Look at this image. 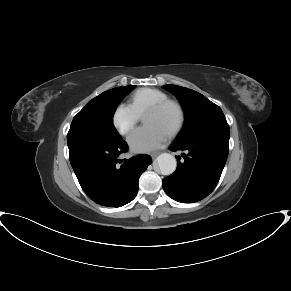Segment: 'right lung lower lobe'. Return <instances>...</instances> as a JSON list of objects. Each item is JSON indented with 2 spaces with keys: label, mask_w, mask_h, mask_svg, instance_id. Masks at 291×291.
<instances>
[{
  "label": "right lung lower lobe",
  "mask_w": 291,
  "mask_h": 291,
  "mask_svg": "<svg viewBox=\"0 0 291 291\" xmlns=\"http://www.w3.org/2000/svg\"><path fill=\"white\" fill-rule=\"evenodd\" d=\"M70 163L83 191L97 204L121 207L138 192L140 175L151 164L147 155H137L122 162L127 151L121 139L104 143L90 139L68 140Z\"/></svg>",
  "instance_id": "1"
}]
</instances>
